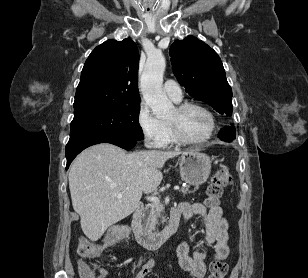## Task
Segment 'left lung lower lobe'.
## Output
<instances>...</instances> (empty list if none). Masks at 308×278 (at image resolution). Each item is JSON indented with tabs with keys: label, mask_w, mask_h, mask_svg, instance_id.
Masks as SVG:
<instances>
[{
	"label": "left lung lower lobe",
	"mask_w": 308,
	"mask_h": 278,
	"mask_svg": "<svg viewBox=\"0 0 308 278\" xmlns=\"http://www.w3.org/2000/svg\"><path fill=\"white\" fill-rule=\"evenodd\" d=\"M220 139L223 141H232L235 138V129L233 127H226L219 133Z\"/></svg>",
	"instance_id": "1"
}]
</instances>
